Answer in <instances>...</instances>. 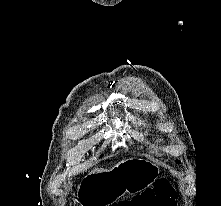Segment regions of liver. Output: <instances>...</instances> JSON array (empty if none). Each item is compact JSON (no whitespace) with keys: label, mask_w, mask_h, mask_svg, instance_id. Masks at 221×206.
Listing matches in <instances>:
<instances>
[{"label":"liver","mask_w":221,"mask_h":206,"mask_svg":"<svg viewBox=\"0 0 221 206\" xmlns=\"http://www.w3.org/2000/svg\"><path fill=\"white\" fill-rule=\"evenodd\" d=\"M108 170L106 169H103V168H97V169H94L93 171H91L90 174H94V173H102V172H106Z\"/></svg>","instance_id":"obj_1"}]
</instances>
